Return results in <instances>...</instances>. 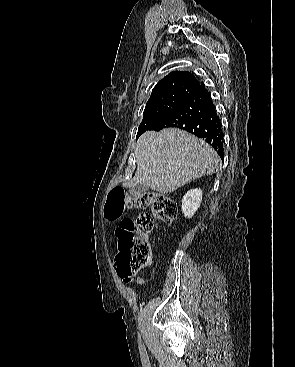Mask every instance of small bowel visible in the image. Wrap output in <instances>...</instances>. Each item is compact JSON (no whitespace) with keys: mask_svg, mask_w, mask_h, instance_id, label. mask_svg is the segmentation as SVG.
<instances>
[{"mask_svg":"<svg viewBox=\"0 0 295 367\" xmlns=\"http://www.w3.org/2000/svg\"><path fill=\"white\" fill-rule=\"evenodd\" d=\"M122 278V280H123V282L125 283V284H129V283H131L132 282V280H131V278L130 277H121Z\"/></svg>","mask_w":295,"mask_h":367,"instance_id":"1","label":"small bowel"}]
</instances>
